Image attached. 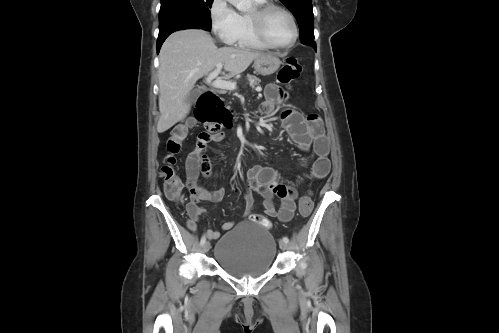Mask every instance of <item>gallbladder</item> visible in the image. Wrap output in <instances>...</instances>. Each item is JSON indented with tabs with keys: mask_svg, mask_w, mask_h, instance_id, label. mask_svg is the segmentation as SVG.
<instances>
[{
	"mask_svg": "<svg viewBox=\"0 0 499 333\" xmlns=\"http://www.w3.org/2000/svg\"><path fill=\"white\" fill-rule=\"evenodd\" d=\"M202 92V89L200 88H195L193 90H191V92L189 93L188 97H187V101L189 103H194L196 101V99L199 97V95L201 94Z\"/></svg>",
	"mask_w": 499,
	"mask_h": 333,
	"instance_id": "gallbladder-1",
	"label": "gallbladder"
}]
</instances>
